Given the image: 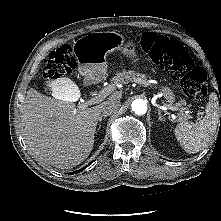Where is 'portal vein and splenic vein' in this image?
<instances>
[{"label":"portal vein and splenic vein","mask_w":221,"mask_h":221,"mask_svg":"<svg viewBox=\"0 0 221 221\" xmlns=\"http://www.w3.org/2000/svg\"><path fill=\"white\" fill-rule=\"evenodd\" d=\"M135 82H140V81H135ZM113 89L114 88L111 85H109L108 87H105L96 96L90 98V100L86 104L92 105V104L102 101L108 94H110L113 91ZM168 108L172 111H180V108H178V107L168 106Z\"/></svg>","instance_id":"1"}]
</instances>
